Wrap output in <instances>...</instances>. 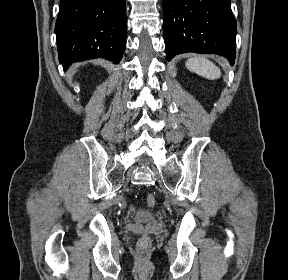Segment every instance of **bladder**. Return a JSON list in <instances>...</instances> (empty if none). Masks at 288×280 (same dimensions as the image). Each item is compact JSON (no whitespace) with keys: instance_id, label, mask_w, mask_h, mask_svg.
Instances as JSON below:
<instances>
[{"instance_id":"31cf9c89","label":"bladder","mask_w":288,"mask_h":280,"mask_svg":"<svg viewBox=\"0 0 288 280\" xmlns=\"http://www.w3.org/2000/svg\"><path fill=\"white\" fill-rule=\"evenodd\" d=\"M153 218V213L148 209H139L135 213V219L140 222H146Z\"/></svg>"}]
</instances>
